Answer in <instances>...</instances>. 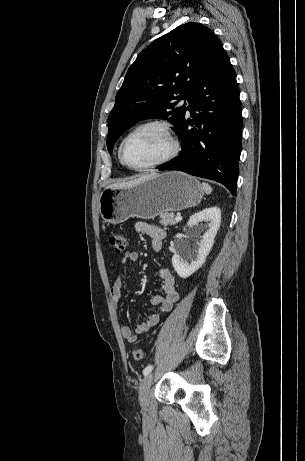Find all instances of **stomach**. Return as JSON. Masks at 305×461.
<instances>
[{
    "instance_id": "stomach-1",
    "label": "stomach",
    "mask_w": 305,
    "mask_h": 461,
    "mask_svg": "<svg viewBox=\"0 0 305 461\" xmlns=\"http://www.w3.org/2000/svg\"><path fill=\"white\" fill-rule=\"evenodd\" d=\"M197 179L180 171L156 174L128 188L105 189L99 212L106 222L119 224L130 217L151 219L162 212L197 206L203 197Z\"/></svg>"
}]
</instances>
